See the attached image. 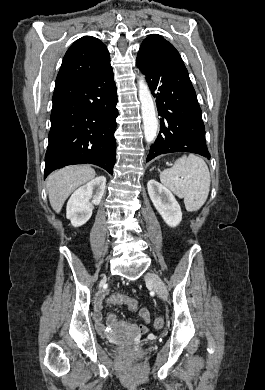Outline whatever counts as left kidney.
Here are the masks:
<instances>
[{"label": "left kidney", "mask_w": 265, "mask_h": 390, "mask_svg": "<svg viewBox=\"0 0 265 390\" xmlns=\"http://www.w3.org/2000/svg\"><path fill=\"white\" fill-rule=\"evenodd\" d=\"M147 188L153 205L165 223L170 227L178 226L182 220V212L172 192L154 179L148 181Z\"/></svg>", "instance_id": "5707ae66"}]
</instances>
